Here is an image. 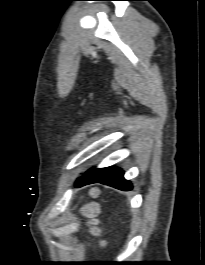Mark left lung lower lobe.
Wrapping results in <instances>:
<instances>
[{"mask_svg":"<svg viewBox=\"0 0 205 265\" xmlns=\"http://www.w3.org/2000/svg\"><path fill=\"white\" fill-rule=\"evenodd\" d=\"M92 183H102L123 191L132 189L130 181L124 178L123 170L118 167L89 169L78 179L76 187Z\"/></svg>","mask_w":205,"mask_h":265,"instance_id":"0a47b994","label":"left lung lower lobe"}]
</instances>
